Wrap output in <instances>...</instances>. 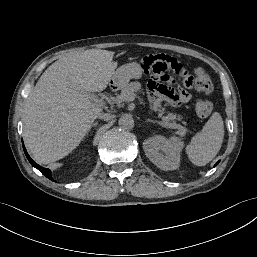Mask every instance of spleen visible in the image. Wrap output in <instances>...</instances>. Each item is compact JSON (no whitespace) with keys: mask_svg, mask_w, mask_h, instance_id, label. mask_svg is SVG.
<instances>
[{"mask_svg":"<svg viewBox=\"0 0 257 257\" xmlns=\"http://www.w3.org/2000/svg\"><path fill=\"white\" fill-rule=\"evenodd\" d=\"M224 138V124L219 113L214 112L186 146V153L190 161L197 166L208 164L219 152Z\"/></svg>","mask_w":257,"mask_h":257,"instance_id":"3e777b00","label":"spleen"}]
</instances>
